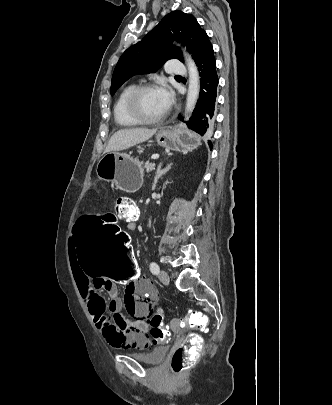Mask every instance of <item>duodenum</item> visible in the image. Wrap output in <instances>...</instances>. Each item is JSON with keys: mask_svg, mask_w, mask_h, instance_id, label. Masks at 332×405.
Here are the masks:
<instances>
[{"mask_svg": "<svg viewBox=\"0 0 332 405\" xmlns=\"http://www.w3.org/2000/svg\"><path fill=\"white\" fill-rule=\"evenodd\" d=\"M130 222H131V226L132 229L136 228V223L139 220V214L138 213H134L131 217H130Z\"/></svg>", "mask_w": 332, "mask_h": 405, "instance_id": "duodenum-1", "label": "duodenum"}]
</instances>
